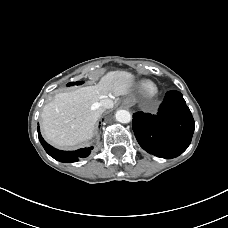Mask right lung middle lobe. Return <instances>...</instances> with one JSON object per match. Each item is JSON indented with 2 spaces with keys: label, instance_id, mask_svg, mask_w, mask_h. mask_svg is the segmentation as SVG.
Returning a JSON list of instances; mask_svg holds the SVG:
<instances>
[{
  "label": "right lung middle lobe",
  "instance_id": "dd1d6c3e",
  "mask_svg": "<svg viewBox=\"0 0 228 228\" xmlns=\"http://www.w3.org/2000/svg\"><path fill=\"white\" fill-rule=\"evenodd\" d=\"M82 83H83L82 81L81 82H71V83L68 84V86H70V85H80Z\"/></svg>",
  "mask_w": 228,
  "mask_h": 228
}]
</instances>
